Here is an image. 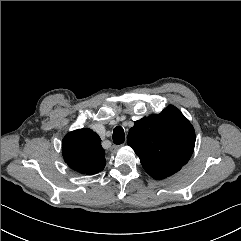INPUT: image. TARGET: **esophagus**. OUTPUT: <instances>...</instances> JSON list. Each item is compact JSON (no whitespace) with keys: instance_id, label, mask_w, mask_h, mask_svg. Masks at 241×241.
<instances>
[{"instance_id":"1","label":"esophagus","mask_w":241,"mask_h":241,"mask_svg":"<svg viewBox=\"0 0 241 241\" xmlns=\"http://www.w3.org/2000/svg\"><path fill=\"white\" fill-rule=\"evenodd\" d=\"M121 145H112L111 148H110V151L111 152H115L117 151L119 148H120Z\"/></svg>"}]
</instances>
